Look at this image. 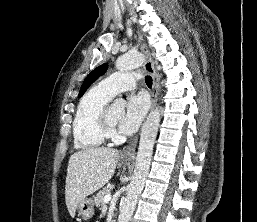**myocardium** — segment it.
<instances>
[{
	"label": "myocardium",
	"instance_id": "f54148a6",
	"mask_svg": "<svg viewBox=\"0 0 257 222\" xmlns=\"http://www.w3.org/2000/svg\"><path fill=\"white\" fill-rule=\"evenodd\" d=\"M101 127L106 136L116 135V125L110 120V107L107 106L101 116Z\"/></svg>",
	"mask_w": 257,
	"mask_h": 222
}]
</instances>
